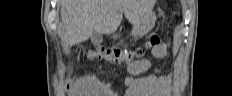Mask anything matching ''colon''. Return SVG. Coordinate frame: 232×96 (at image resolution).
Wrapping results in <instances>:
<instances>
[{"instance_id":"1","label":"colon","mask_w":232,"mask_h":96,"mask_svg":"<svg viewBox=\"0 0 232 96\" xmlns=\"http://www.w3.org/2000/svg\"><path fill=\"white\" fill-rule=\"evenodd\" d=\"M151 45L154 47L155 54L157 56H163L165 54V50L161 47L162 45L160 44V38L158 36H154L151 38ZM100 53L112 60L132 58V53H124L120 50H114V49L103 48L101 49Z\"/></svg>"}]
</instances>
